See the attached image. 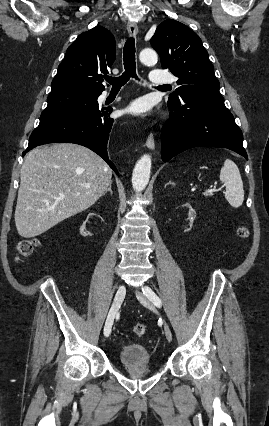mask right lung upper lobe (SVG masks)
Wrapping results in <instances>:
<instances>
[{
	"mask_svg": "<svg viewBox=\"0 0 269 426\" xmlns=\"http://www.w3.org/2000/svg\"><path fill=\"white\" fill-rule=\"evenodd\" d=\"M115 56V39L109 30L96 26L81 33L67 49L51 92L78 90L101 94L105 90L101 73H108Z\"/></svg>",
	"mask_w": 269,
	"mask_h": 426,
	"instance_id": "cb5924a9",
	"label": "right lung upper lobe"
}]
</instances>
